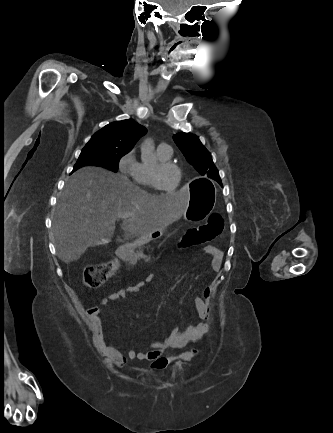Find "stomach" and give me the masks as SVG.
<instances>
[{
    "instance_id": "1",
    "label": "stomach",
    "mask_w": 333,
    "mask_h": 433,
    "mask_svg": "<svg viewBox=\"0 0 333 433\" xmlns=\"http://www.w3.org/2000/svg\"><path fill=\"white\" fill-rule=\"evenodd\" d=\"M216 187L213 181L206 177L195 178L191 187V198L187 214L184 215L190 224L196 225L205 219L214 209ZM164 229L149 235L160 237Z\"/></svg>"
}]
</instances>
